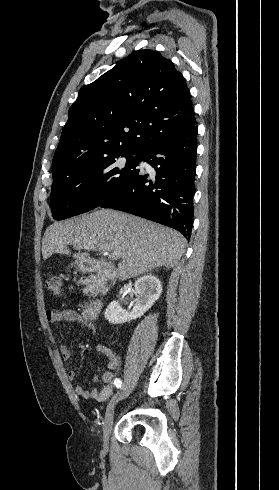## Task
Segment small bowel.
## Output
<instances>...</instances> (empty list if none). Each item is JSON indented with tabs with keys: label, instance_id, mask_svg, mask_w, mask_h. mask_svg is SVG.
I'll use <instances>...</instances> for the list:
<instances>
[{
	"label": "small bowel",
	"instance_id": "small-bowel-1",
	"mask_svg": "<svg viewBox=\"0 0 279 490\" xmlns=\"http://www.w3.org/2000/svg\"><path fill=\"white\" fill-rule=\"evenodd\" d=\"M46 321L50 324H58L61 322H68L72 324H78L82 327L88 328L93 334H97V331L90 320L86 319L83 314L78 311L70 309H51L45 313ZM98 353L105 355L109 359L108 370L103 374L102 381L104 386L101 389L92 388L85 389L83 386L78 385L75 388V393L85 399H93L98 402L105 401L113 392V382L115 379V371L119 365V358L117 354L108 346L98 344L96 346ZM59 351L64 360L71 359V350L65 344L59 346ZM77 364L74 363L68 372V378L75 380L77 378ZM98 376L93 377V381L97 383Z\"/></svg>",
	"mask_w": 279,
	"mask_h": 490
}]
</instances>
